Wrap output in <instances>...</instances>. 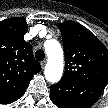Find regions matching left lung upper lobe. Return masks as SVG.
<instances>
[{"instance_id":"5c2ea615","label":"left lung upper lobe","mask_w":108,"mask_h":108,"mask_svg":"<svg viewBox=\"0 0 108 108\" xmlns=\"http://www.w3.org/2000/svg\"><path fill=\"white\" fill-rule=\"evenodd\" d=\"M65 71L62 79L105 87L108 84V50L85 27L74 21L58 23Z\"/></svg>"}]
</instances>
